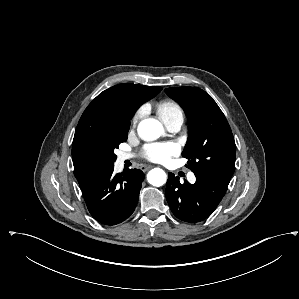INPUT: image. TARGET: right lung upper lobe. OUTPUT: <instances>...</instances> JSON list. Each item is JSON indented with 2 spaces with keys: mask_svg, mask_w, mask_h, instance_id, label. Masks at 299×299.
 Instances as JSON below:
<instances>
[{
  "mask_svg": "<svg viewBox=\"0 0 299 299\" xmlns=\"http://www.w3.org/2000/svg\"><path fill=\"white\" fill-rule=\"evenodd\" d=\"M161 90L162 87L119 84L100 93L88 105L79 120L72 146L73 165L79 185L86 181L82 177L77 145L112 122H130L138 107L155 97Z\"/></svg>",
  "mask_w": 299,
  "mask_h": 299,
  "instance_id": "obj_1",
  "label": "right lung upper lobe"
}]
</instances>
